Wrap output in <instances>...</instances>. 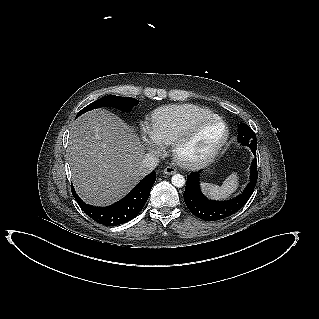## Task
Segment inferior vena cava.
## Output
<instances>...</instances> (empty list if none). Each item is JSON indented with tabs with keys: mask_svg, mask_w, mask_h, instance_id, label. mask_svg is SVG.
<instances>
[{
	"mask_svg": "<svg viewBox=\"0 0 319 319\" xmlns=\"http://www.w3.org/2000/svg\"><path fill=\"white\" fill-rule=\"evenodd\" d=\"M159 158L153 154H145L143 160L141 161L140 171L148 173L156 168L159 164Z\"/></svg>",
	"mask_w": 319,
	"mask_h": 319,
	"instance_id": "1",
	"label": "inferior vena cava"
}]
</instances>
